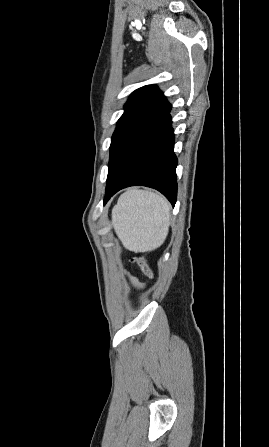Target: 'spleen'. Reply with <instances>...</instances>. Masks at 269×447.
<instances>
[{"mask_svg":"<svg viewBox=\"0 0 269 447\" xmlns=\"http://www.w3.org/2000/svg\"><path fill=\"white\" fill-rule=\"evenodd\" d=\"M112 224L124 247L150 251L164 243L170 224V206L151 190L128 188L112 210Z\"/></svg>","mask_w":269,"mask_h":447,"instance_id":"3e777b00","label":"spleen"}]
</instances>
